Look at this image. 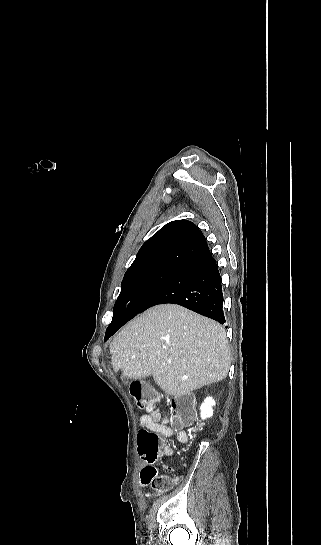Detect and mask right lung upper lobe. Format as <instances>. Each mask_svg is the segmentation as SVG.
Listing matches in <instances>:
<instances>
[{
  "label": "right lung upper lobe",
  "instance_id": "right-lung-upper-lobe-1",
  "mask_svg": "<svg viewBox=\"0 0 321 545\" xmlns=\"http://www.w3.org/2000/svg\"><path fill=\"white\" fill-rule=\"evenodd\" d=\"M206 247V239L194 223L171 221L142 245L128 271L154 265L178 268Z\"/></svg>",
  "mask_w": 321,
  "mask_h": 545
}]
</instances>
